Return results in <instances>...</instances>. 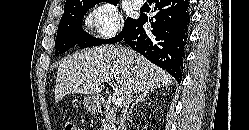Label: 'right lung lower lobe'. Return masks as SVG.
Segmentation results:
<instances>
[{
    "instance_id": "1",
    "label": "right lung lower lobe",
    "mask_w": 249,
    "mask_h": 130,
    "mask_svg": "<svg viewBox=\"0 0 249 130\" xmlns=\"http://www.w3.org/2000/svg\"><path fill=\"white\" fill-rule=\"evenodd\" d=\"M153 2L156 15L149 19L146 15H140L121 40L181 82L190 22L189 2L188 0H153ZM148 21L152 30L145 31L143 25Z\"/></svg>"
}]
</instances>
